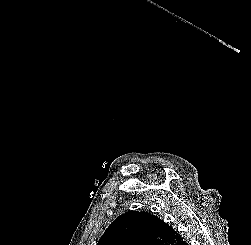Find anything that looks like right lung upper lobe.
<instances>
[{
    "label": "right lung upper lobe",
    "instance_id": "obj_1",
    "mask_svg": "<svg viewBox=\"0 0 251 245\" xmlns=\"http://www.w3.org/2000/svg\"><path fill=\"white\" fill-rule=\"evenodd\" d=\"M181 236L148 212L129 211L106 229L97 245H176Z\"/></svg>",
    "mask_w": 251,
    "mask_h": 245
}]
</instances>
